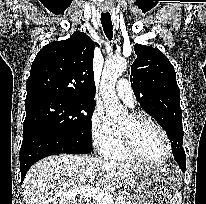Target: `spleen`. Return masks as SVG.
Listing matches in <instances>:
<instances>
[{"instance_id": "obj_1", "label": "spleen", "mask_w": 206, "mask_h": 204, "mask_svg": "<svg viewBox=\"0 0 206 204\" xmlns=\"http://www.w3.org/2000/svg\"><path fill=\"white\" fill-rule=\"evenodd\" d=\"M171 204H181V198L179 194L173 196V198L171 199Z\"/></svg>"}]
</instances>
